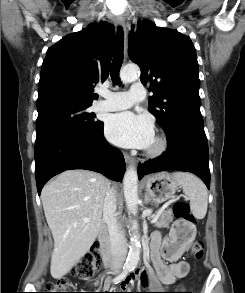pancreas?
Wrapping results in <instances>:
<instances>
[{"instance_id": "obj_1", "label": "pancreas", "mask_w": 245, "mask_h": 293, "mask_svg": "<svg viewBox=\"0 0 245 293\" xmlns=\"http://www.w3.org/2000/svg\"><path fill=\"white\" fill-rule=\"evenodd\" d=\"M173 221V216L170 211H165L161 213L158 220L155 222V226L158 228H167L169 224Z\"/></svg>"}]
</instances>
